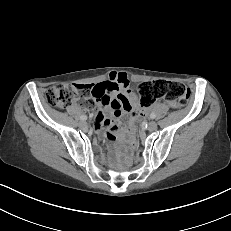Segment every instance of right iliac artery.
<instances>
[{"label": "right iliac artery", "instance_id": "obj_1", "mask_svg": "<svg viewBox=\"0 0 231 231\" xmlns=\"http://www.w3.org/2000/svg\"><path fill=\"white\" fill-rule=\"evenodd\" d=\"M80 119L84 121V120H86V119H87V116L82 115V116L80 117Z\"/></svg>", "mask_w": 231, "mask_h": 231}]
</instances>
